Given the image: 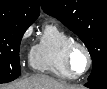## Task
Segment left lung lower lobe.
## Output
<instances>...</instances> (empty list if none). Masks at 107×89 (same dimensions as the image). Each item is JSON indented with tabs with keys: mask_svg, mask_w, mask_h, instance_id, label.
<instances>
[{
	"mask_svg": "<svg viewBox=\"0 0 107 89\" xmlns=\"http://www.w3.org/2000/svg\"><path fill=\"white\" fill-rule=\"evenodd\" d=\"M85 86L91 89H107V72L94 80L88 81Z\"/></svg>",
	"mask_w": 107,
	"mask_h": 89,
	"instance_id": "0a47b994",
	"label": "left lung lower lobe"
}]
</instances>
